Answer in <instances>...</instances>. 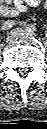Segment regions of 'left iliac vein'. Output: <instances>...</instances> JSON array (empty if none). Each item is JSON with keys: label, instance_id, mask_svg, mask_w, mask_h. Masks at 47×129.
<instances>
[{"label": "left iliac vein", "instance_id": "4c4485c4", "mask_svg": "<svg viewBox=\"0 0 47 129\" xmlns=\"http://www.w3.org/2000/svg\"><path fill=\"white\" fill-rule=\"evenodd\" d=\"M35 36H36V34L33 32L23 31L21 39L27 40V39H30V38L35 37Z\"/></svg>", "mask_w": 47, "mask_h": 129}]
</instances>
